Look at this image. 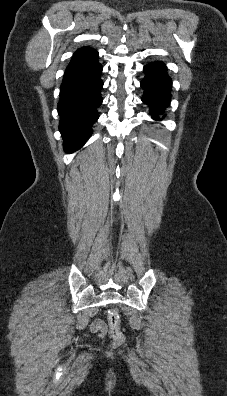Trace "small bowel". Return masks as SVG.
Here are the masks:
<instances>
[{"label":"small bowel","mask_w":227,"mask_h":396,"mask_svg":"<svg viewBox=\"0 0 227 396\" xmlns=\"http://www.w3.org/2000/svg\"><path fill=\"white\" fill-rule=\"evenodd\" d=\"M91 332L93 333H97L100 336H103L105 334L106 328H105V324L102 320L97 319L95 320L92 324H91Z\"/></svg>","instance_id":"small-bowel-1"}]
</instances>
